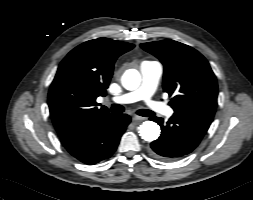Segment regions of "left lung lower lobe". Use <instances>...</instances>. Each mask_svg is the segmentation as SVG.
I'll return each instance as SVG.
<instances>
[{"label": "left lung lower lobe", "instance_id": "obj_1", "mask_svg": "<svg viewBox=\"0 0 253 200\" xmlns=\"http://www.w3.org/2000/svg\"><path fill=\"white\" fill-rule=\"evenodd\" d=\"M161 127L160 137L151 143L150 152L163 160H172L192 152L206 134L210 124L190 116L174 113L164 123L162 118L152 117Z\"/></svg>", "mask_w": 253, "mask_h": 200}]
</instances>
